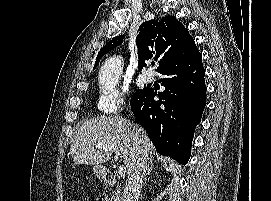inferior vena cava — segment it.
Returning a JSON list of instances; mask_svg holds the SVG:
<instances>
[{"label": "inferior vena cava", "instance_id": "obj_1", "mask_svg": "<svg viewBox=\"0 0 271 201\" xmlns=\"http://www.w3.org/2000/svg\"><path fill=\"white\" fill-rule=\"evenodd\" d=\"M133 129L134 138L139 146V149L132 170L128 174V179L121 201H138L142 189L143 179L148 167L147 160L149 157L146 149L148 136L139 125L134 124Z\"/></svg>", "mask_w": 271, "mask_h": 201}]
</instances>
